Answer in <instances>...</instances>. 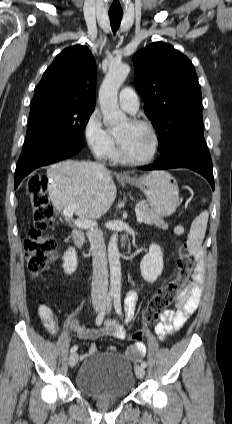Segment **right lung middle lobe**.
<instances>
[{"label": "right lung middle lobe", "instance_id": "dd1d6c3e", "mask_svg": "<svg viewBox=\"0 0 232 424\" xmlns=\"http://www.w3.org/2000/svg\"><path fill=\"white\" fill-rule=\"evenodd\" d=\"M94 108L48 104L31 108L24 145L37 138L79 141Z\"/></svg>", "mask_w": 232, "mask_h": 424}]
</instances>
